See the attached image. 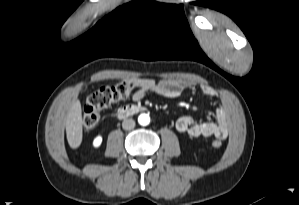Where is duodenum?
I'll list each match as a JSON object with an SVG mask.
<instances>
[{
	"label": "duodenum",
	"instance_id": "410a0bca",
	"mask_svg": "<svg viewBox=\"0 0 299 205\" xmlns=\"http://www.w3.org/2000/svg\"><path fill=\"white\" fill-rule=\"evenodd\" d=\"M144 111H146V107L141 106V105L130 104V105L121 107L117 112V117L119 119H125L134 114L144 112Z\"/></svg>",
	"mask_w": 299,
	"mask_h": 205
}]
</instances>
